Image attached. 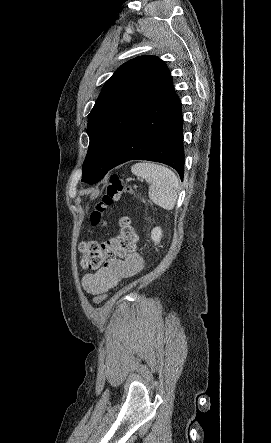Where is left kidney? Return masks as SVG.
Returning <instances> with one entry per match:
<instances>
[{"label": "left kidney", "mask_w": 271, "mask_h": 443, "mask_svg": "<svg viewBox=\"0 0 271 443\" xmlns=\"http://www.w3.org/2000/svg\"><path fill=\"white\" fill-rule=\"evenodd\" d=\"M160 237H162L161 227H154V229H152V231H151V239H153V241H155V245H157V243H159Z\"/></svg>", "instance_id": "obj_1"}]
</instances>
